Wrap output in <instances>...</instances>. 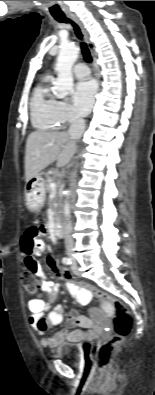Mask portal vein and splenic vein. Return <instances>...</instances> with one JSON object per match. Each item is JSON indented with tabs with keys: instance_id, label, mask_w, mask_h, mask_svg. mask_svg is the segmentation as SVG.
Wrapping results in <instances>:
<instances>
[{
	"instance_id": "1",
	"label": "portal vein and splenic vein",
	"mask_w": 155,
	"mask_h": 395,
	"mask_svg": "<svg viewBox=\"0 0 155 395\" xmlns=\"http://www.w3.org/2000/svg\"><path fill=\"white\" fill-rule=\"evenodd\" d=\"M56 187H57V184H56L55 182H51V183H50V188H51L52 190H56Z\"/></svg>"
}]
</instances>
